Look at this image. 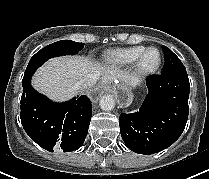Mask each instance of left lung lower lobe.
I'll return each instance as SVG.
<instances>
[{
	"label": "left lung lower lobe",
	"instance_id": "0a47b994",
	"mask_svg": "<svg viewBox=\"0 0 209 179\" xmlns=\"http://www.w3.org/2000/svg\"><path fill=\"white\" fill-rule=\"evenodd\" d=\"M139 111L119 118L125 145L135 153L154 154L172 145L188 118L190 84L186 70L151 76Z\"/></svg>",
	"mask_w": 209,
	"mask_h": 179
}]
</instances>
